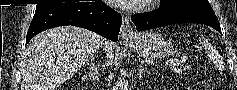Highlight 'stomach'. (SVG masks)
Here are the masks:
<instances>
[{
    "mask_svg": "<svg viewBox=\"0 0 237 90\" xmlns=\"http://www.w3.org/2000/svg\"><path fill=\"white\" fill-rule=\"evenodd\" d=\"M128 45L140 56L150 58H163L174 53L171 43L160 34L149 31L137 36Z\"/></svg>",
    "mask_w": 237,
    "mask_h": 90,
    "instance_id": "1",
    "label": "stomach"
}]
</instances>
